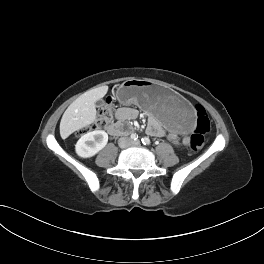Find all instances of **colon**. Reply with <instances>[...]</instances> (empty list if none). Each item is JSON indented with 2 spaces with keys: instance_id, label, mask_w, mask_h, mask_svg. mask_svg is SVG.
<instances>
[{
  "instance_id": "colon-1",
  "label": "colon",
  "mask_w": 264,
  "mask_h": 264,
  "mask_svg": "<svg viewBox=\"0 0 264 264\" xmlns=\"http://www.w3.org/2000/svg\"><path fill=\"white\" fill-rule=\"evenodd\" d=\"M114 107L115 104L113 97H107L98 109L97 117L93 127L101 129L109 124L112 120ZM195 112L197 117L196 126L193 134L190 137V146L192 150L199 151L205 144L206 136L211 128V123L203 106L197 105L195 107Z\"/></svg>"
}]
</instances>
